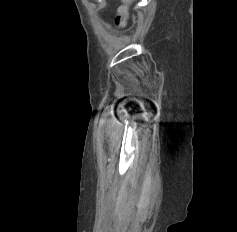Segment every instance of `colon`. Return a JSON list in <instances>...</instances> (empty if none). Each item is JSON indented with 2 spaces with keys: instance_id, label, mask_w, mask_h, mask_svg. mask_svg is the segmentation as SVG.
I'll return each instance as SVG.
<instances>
[{
  "instance_id": "obj_1",
  "label": "colon",
  "mask_w": 237,
  "mask_h": 232,
  "mask_svg": "<svg viewBox=\"0 0 237 232\" xmlns=\"http://www.w3.org/2000/svg\"><path fill=\"white\" fill-rule=\"evenodd\" d=\"M134 0H122L123 4L120 7L119 11H118V15H117V22L120 25H123L126 22L127 19V8L130 5L131 2H133Z\"/></svg>"
}]
</instances>
